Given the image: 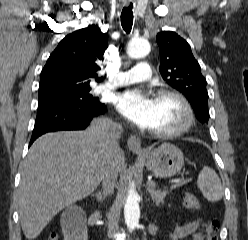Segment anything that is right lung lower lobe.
<instances>
[{
	"label": "right lung lower lobe",
	"mask_w": 248,
	"mask_h": 240,
	"mask_svg": "<svg viewBox=\"0 0 248 240\" xmlns=\"http://www.w3.org/2000/svg\"><path fill=\"white\" fill-rule=\"evenodd\" d=\"M106 112L105 104L97 106H75L65 103L38 104L31 145L39 136L60 130L85 129L93 117Z\"/></svg>",
	"instance_id": "1"
}]
</instances>
